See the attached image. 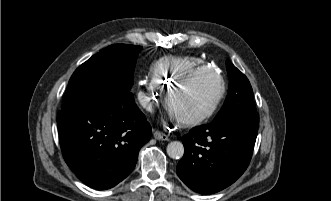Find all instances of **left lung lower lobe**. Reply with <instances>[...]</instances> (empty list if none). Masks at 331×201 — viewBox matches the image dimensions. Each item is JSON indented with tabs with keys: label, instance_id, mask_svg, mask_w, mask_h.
Here are the masks:
<instances>
[{
	"label": "left lung lower lobe",
	"instance_id": "obj_1",
	"mask_svg": "<svg viewBox=\"0 0 331 201\" xmlns=\"http://www.w3.org/2000/svg\"><path fill=\"white\" fill-rule=\"evenodd\" d=\"M257 113L214 119L182 138L185 153L176 172L192 190L213 194L234 183L246 170L258 132Z\"/></svg>",
	"mask_w": 331,
	"mask_h": 201
}]
</instances>
